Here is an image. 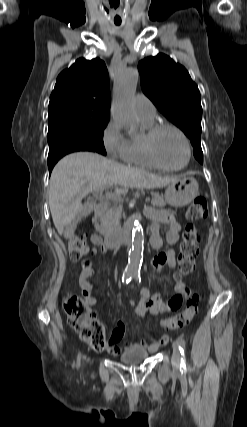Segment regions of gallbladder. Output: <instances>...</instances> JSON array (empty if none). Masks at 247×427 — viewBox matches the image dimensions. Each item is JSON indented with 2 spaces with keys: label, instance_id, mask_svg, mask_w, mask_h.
I'll use <instances>...</instances> for the list:
<instances>
[{
  "label": "gallbladder",
  "instance_id": "gallbladder-1",
  "mask_svg": "<svg viewBox=\"0 0 247 427\" xmlns=\"http://www.w3.org/2000/svg\"><path fill=\"white\" fill-rule=\"evenodd\" d=\"M94 209V204L91 201H87L84 205L80 213L78 214L77 221L80 220L83 217L88 216ZM76 227V222H73L72 224L68 225L64 229V235L66 237H71L74 233Z\"/></svg>",
  "mask_w": 247,
  "mask_h": 427
}]
</instances>
